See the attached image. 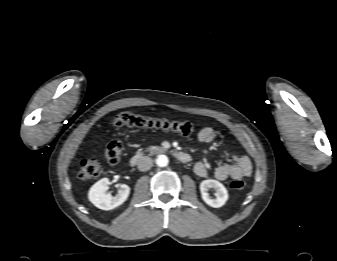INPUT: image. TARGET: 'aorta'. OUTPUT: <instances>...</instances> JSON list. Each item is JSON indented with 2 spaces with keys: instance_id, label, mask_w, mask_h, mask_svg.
Listing matches in <instances>:
<instances>
[{
  "instance_id": "obj_1",
  "label": "aorta",
  "mask_w": 337,
  "mask_h": 261,
  "mask_svg": "<svg viewBox=\"0 0 337 261\" xmlns=\"http://www.w3.org/2000/svg\"><path fill=\"white\" fill-rule=\"evenodd\" d=\"M169 163V160H168V157L166 155H158L157 158H156V164L159 166V167H166Z\"/></svg>"
}]
</instances>
